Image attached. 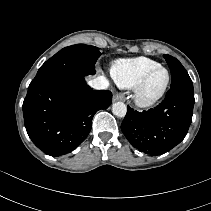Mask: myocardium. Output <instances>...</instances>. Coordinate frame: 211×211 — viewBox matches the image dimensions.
<instances>
[{"instance_id": "myocardium-1", "label": "myocardium", "mask_w": 211, "mask_h": 211, "mask_svg": "<svg viewBox=\"0 0 211 211\" xmlns=\"http://www.w3.org/2000/svg\"><path fill=\"white\" fill-rule=\"evenodd\" d=\"M159 70H164L166 72V74H167L166 81H165L164 85L162 86V88L156 94L147 95L146 87H147L148 81L150 80L151 76ZM170 81H171V75L167 68L159 65V66L149 70L143 76V78L140 80L138 85L135 87L134 101H135L136 105L143 109H150V108L154 107L155 105H157L162 100V98L165 96V94L168 90Z\"/></svg>"}]
</instances>
